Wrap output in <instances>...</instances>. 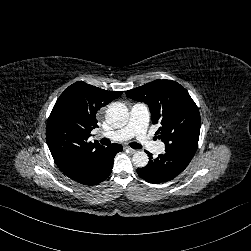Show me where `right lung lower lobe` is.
Masks as SVG:
<instances>
[{
	"mask_svg": "<svg viewBox=\"0 0 251 251\" xmlns=\"http://www.w3.org/2000/svg\"><path fill=\"white\" fill-rule=\"evenodd\" d=\"M122 149L120 144H112L101 156L82 163L71 173L65 175L83 185L99 184L110 175L114 157Z\"/></svg>",
	"mask_w": 251,
	"mask_h": 251,
	"instance_id": "1",
	"label": "right lung lower lobe"
}]
</instances>
